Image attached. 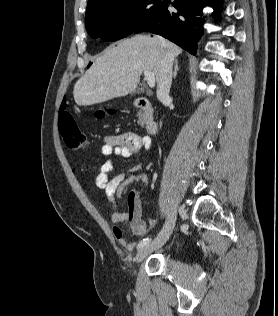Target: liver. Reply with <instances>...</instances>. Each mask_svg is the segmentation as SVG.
Masks as SVG:
<instances>
[{"label":"liver","mask_w":278,"mask_h":316,"mask_svg":"<svg viewBox=\"0 0 278 316\" xmlns=\"http://www.w3.org/2000/svg\"><path fill=\"white\" fill-rule=\"evenodd\" d=\"M167 52L177 57L182 49L149 35H136L118 42L98 57L75 83V102L87 106L132 93L146 70L152 71L159 82L161 62Z\"/></svg>","instance_id":"6515ba94"}]
</instances>
